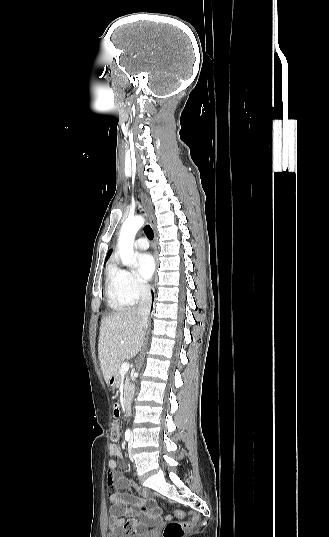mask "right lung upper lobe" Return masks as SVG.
<instances>
[{
	"label": "right lung upper lobe",
	"mask_w": 329,
	"mask_h": 537,
	"mask_svg": "<svg viewBox=\"0 0 329 537\" xmlns=\"http://www.w3.org/2000/svg\"><path fill=\"white\" fill-rule=\"evenodd\" d=\"M109 255H110V251H109V253H108V255H107V258H106V259H108Z\"/></svg>",
	"instance_id": "1"
}]
</instances>
